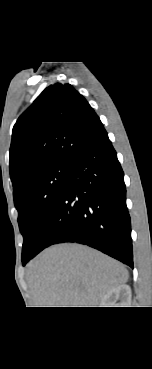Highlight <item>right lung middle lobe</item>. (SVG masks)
I'll return each instance as SVG.
<instances>
[{"label": "right lung middle lobe", "mask_w": 152, "mask_h": 369, "mask_svg": "<svg viewBox=\"0 0 152 369\" xmlns=\"http://www.w3.org/2000/svg\"><path fill=\"white\" fill-rule=\"evenodd\" d=\"M69 163H58L31 173L13 193L20 232L24 237L22 262L37 249L40 237L61 195Z\"/></svg>", "instance_id": "1"}]
</instances>
